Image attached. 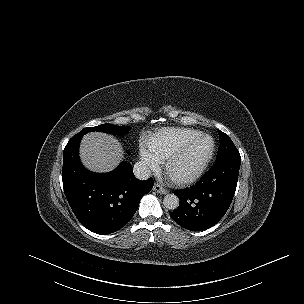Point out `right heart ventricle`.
Returning a JSON list of instances; mask_svg holds the SVG:
<instances>
[{
    "label": "right heart ventricle",
    "instance_id": "right-heart-ventricle-1",
    "mask_svg": "<svg viewBox=\"0 0 304 304\" xmlns=\"http://www.w3.org/2000/svg\"><path fill=\"white\" fill-rule=\"evenodd\" d=\"M200 134V131L190 128H162L153 134L150 146L162 159H166Z\"/></svg>",
    "mask_w": 304,
    "mask_h": 304
}]
</instances>
